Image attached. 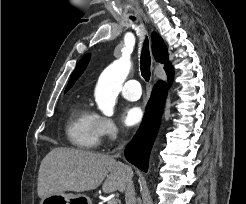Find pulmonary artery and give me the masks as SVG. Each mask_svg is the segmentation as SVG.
Segmentation results:
<instances>
[{"label": "pulmonary artery", "mask_w": 246, "mask_h": 204, "mask_svg": "<svg viewBox=\"0 0 246 204\" xmlns=\"http://www.w3.org/2000/svg\"><path fill=\"white\" fill-rule=\"evenodd\" d=\"M122 96L130 101L138 100L141 97L140 83L135 79L128 80L122 88Z\"/></svg>", "instance_id": "1"}]
</instances>
